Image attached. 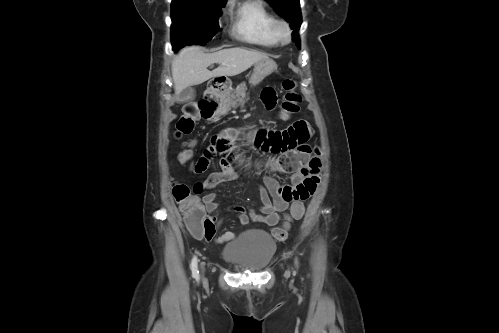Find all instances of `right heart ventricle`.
Listing matches in <instances>:
<instances>
[{
	"label": "right heart ventricle",
	"instance_id": "right-heart-ventricle-1",
	"mask_svg": "<svg viewBox=\"0 0 499 333\" xmlns=\"http://www.w3.org/2000/svg\"><path fill=\"white\" fill-rule=\"evenodd\" d=\"M232 31L239 40L260 47L278 43L273 33L274 14L262 0H245L230 10Z\"/></svg>",
	"mask_w": 499,
	"mask_h": 333
}]
</instances>
